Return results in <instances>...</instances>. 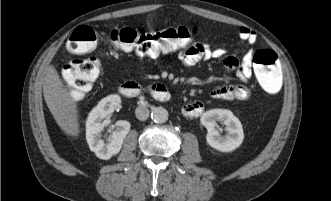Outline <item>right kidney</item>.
I'll list each match as a JSON object with an SVG mask.
<instances>
[{"label":"right kidney","instance_id":"ca27d5eb","mask_svg":"<svg viewBox=\"0 0 331 201\" xmlns=\"http://www.w3.org/2000/svg\"><path fill=\"white\" fill-rule=\"evenodd\" d=\"M121 103V98L117 94L109 95L103 98L96 107H94L86 120V140L91 151L103 160H108L119 153L122 148L124 138L130 131V123L126 120L116 122V129L105 141L102 139V131L105 127V121L115 108ZM104 120V121H103Z\"/></svg>","mask_w":331,"mask_h":201}]
</instances>
